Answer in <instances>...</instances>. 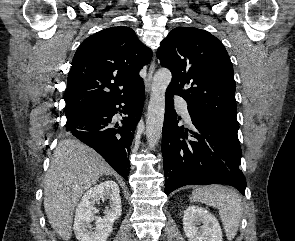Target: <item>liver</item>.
Listing matches in <instances>:
<instances>
[{
    "mask_svg": "<svg viewBox=\"0 0 295 241\" xmlns=\"http://www.w3.org/2000/svg\"><path fill=\"white\" fill-rule=\"evenodd\" d=\"M112 173L108 163L78 140L59 142L44 180V209L55 232L68 241L72 235L74 209L102 175Z\"/></svg>",
    "mask_w": 295,
    "mask_h": 241,
    "instance_id": "6515ba94",
    "label": "liver"
}]
</instances>
